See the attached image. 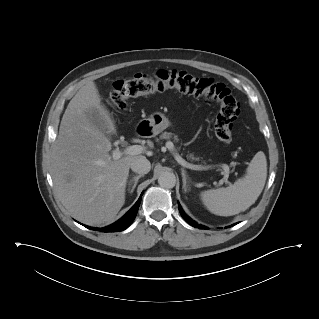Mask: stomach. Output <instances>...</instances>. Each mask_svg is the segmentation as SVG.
<instances>
[{
  "instance_id": "obj_1",
  "label": "stomach",
  "mask_w": 319,
  "mask_h": 319,
  "mask_svg": "<svg viewBox=\"0 0 319 319\" xmlns=\"http://www.w3.org/2000/svg\"><path fill=\"white\" fill-rule=\"evenodd\" d=\"M146 121L148 122V126L152 135L159 134L171 125L168 118L160 112L151 114Z\"/></svg>"
}]
</instances>
